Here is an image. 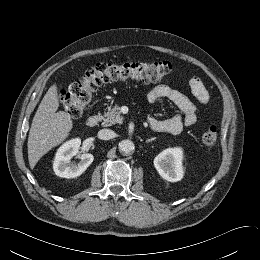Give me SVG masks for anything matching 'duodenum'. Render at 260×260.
<instances>
[{
	"instance_id": "1",
	"label": "duodenum",
	"mask_w": 260,
	"mask_h": 260,
	"mask_svg": "<svg viewBox=\"0 0 260 260\" xmlns=\"http://www.w3.org/2000/svg\"><path fill=\"white\" fill-rule=\"evenodd\" d=\"M100 121V116L99 115H92L87 118L86 120V126L89 128L95 127Z\"/></svg>"
}]
</instances>
